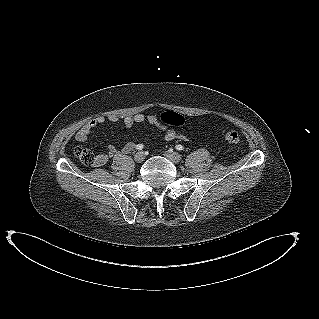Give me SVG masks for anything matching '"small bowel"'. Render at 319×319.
<instances>
[{
	"instance_id": "obj_1",
	"label": "small bowel",
	"mask_w": 319,
	"mask_h": 319,
	"mask_svg": "<svg viewBox=\"0 0 319 319\" xmlns=\"http://www.w3.org/2000/svg\"><path fill=\"white\" fill-rule=\"evenodd\" d=\"M107 119L112 123H116L119 121V117L117 115H110ZM107 119L104 116H98L87 122L77 131L75 135L76 140L78 142H85L93 129H95L98 125L103 124ZM123 121L124 125L127 128H131L136 124H141L144 122L155 125L164 131L165 141H172L176 138L182 139L184 141L189 140V136L185 133L163 125L159 121L158 114H150L148 116H144L142 114L128 115L124 118ZM134 146L135 144L130 141L125 143L120 150H118L114 145H109L104 152L99 153L95 156V161L93 164L95 166H103L109 161V159L113 158L118 153L129 154L133 150Z\"/></svg>"
}]
</instances>
